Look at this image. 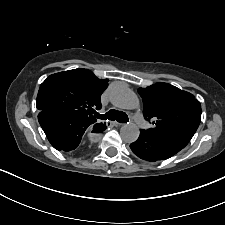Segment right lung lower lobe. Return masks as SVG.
Wrapping results in <instances>:
<instances>
[{"label": "right lung lower lobe", "mask_w": 225, "mask_h": 225, "mask_svg": "<svg viewBox=\"0 0 225 225\" xmlns=\"http://www.w3.org/2000/svg\"><path fill=\"white\" fill-rule=\"evenodd\" d=\"M38 121L55 149L74 154L85 152L84 134L90 131L100 133L106 129V126L97 128L86 120L46 110L39 111Z\"/></svg>", "instance_id": "1"}]
</instances>
